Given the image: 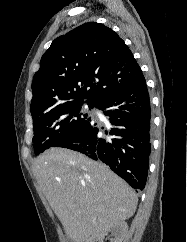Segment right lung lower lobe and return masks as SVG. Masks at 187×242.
<instances>
[{
    "instance_id": "right-lung-lower-lobe-1",
    "label": "right lung lower lobe",
    "mask_w": 187,
    "mask_h": 242,
    "mask_svg": "<svg viewBox=\"0 0 187 242\" xmlns=\"http://www.w3.org/2000/svg\"><path fill=\"white\" fill-rule=\"evenodd\" d=\"M96 108L109 117L105 131L88 118L72 134L52 147L81 152L104 163L133 188L145 187L151 153V107L146 82L111 94Z\"/></svg>"
}]
</instances>
